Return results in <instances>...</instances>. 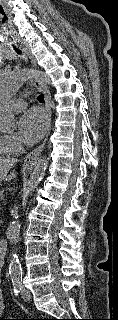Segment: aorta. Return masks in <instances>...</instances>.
<instances>
[{
    "instance_id": "1",
    "label": "aorta",
    "mask_w": 118,
    "mask_h": 320,
    "mask_svg": "<svg viewBox=\"0 0 118 320\" xmlns=\"http://www.w3.org/2000/svg\"><path fill=\"white\" fill-rule=\"evenodd\" d=\"M32 77H37L44 83L50 84L51 80L43 71H31L28 69H17L5 73L0 77V130L11 131L17 126L15 114L8 108L7 101L15 94L18 88ZM48 166V158L42 157L36 163L30 177L28 187L25 191L26 196L32 195L37 188ZM21 224L18 220L12 221L6 231L9 243L13 246L9 264V274L12 280H19L22 277V268L17 255L16 245L19 242Z\"/></svg>"
}]
</instances>
